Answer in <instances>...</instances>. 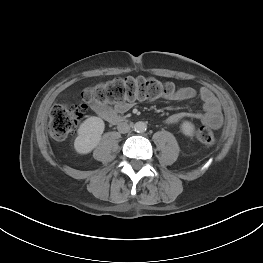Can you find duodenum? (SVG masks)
<instances>
[{
    "label": "duodenum",
    "instance_id": "obj_1",
    "mask_svg": "<svg viewBox=\"0 0 263 263\" xmlns=\"http://www.w3.org/2000/svg\"><path fill=\"white\" fill-rule=\"evenodd\" d=\"M109 120L112 122H122L123 121V119L121 117L116 116V115H110Z\"/></svg>",
    "mask_w": 263,
    "mask_h": 263
}]
</instances>
